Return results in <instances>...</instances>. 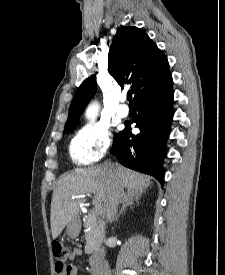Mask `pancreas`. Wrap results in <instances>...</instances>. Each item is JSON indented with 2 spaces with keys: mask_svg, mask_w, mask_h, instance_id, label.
Segmentation results:
<instances>
[{
  "mask_svg": "<svg viewBox=\"0 0 225 275\" xmlns=\"http://www.w3.org/2000/svg\"><path fill=\"white\" fill-rule=\"evenodd\" d=\"M84 228L86 229L85 232V239H86V246L85 252L87 254H92L97 245L100 242V225L98 221L94 218H89L84 223Z\"/></svg>",
  "mask_w": 225,
  "mask_h": 275,
  "instance_id": "obj_1",
  "label": "pancreas"
}]
</instances>
